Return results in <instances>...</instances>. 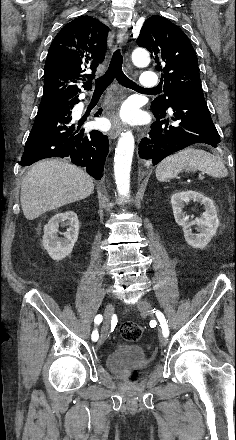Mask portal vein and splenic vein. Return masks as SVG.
Returning a JSON list of instances; mask_svg holds the SVG:
<instances>
[{"label": "portal vein and splenic vein", "instance_id": "portal-vein-and-splenic-vein-1", "mask_svg": "<svg viewBox=\"0 0 236 440\" xmlns=\"http://www.w3.org/2000/svg\"><path fill=\"white\" fill-rule=\"evenodd\" d=\"M200 179H203V176H200Z\"/></svg>", "mask_w": 236, "mask_h": 440}]
</instances>
